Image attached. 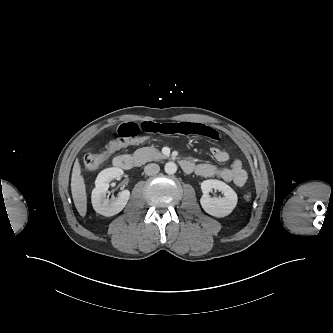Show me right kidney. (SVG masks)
Listing matches in <instances>:
<instances>
[{
	"instance_id": "ca27d5eb",
	"label": "right kidney",
	"mask_w": 333,
	"mask_h": 333,
	"mask_svg": "<svg viewBox=\"0 0 333 333\" xmlns=\"http://www.w3.org/2000/svg\"><path fill=\"white\" fill-rule=\"evenodd\" d=\"M122 175L123 170L117 167L104 169L98 174L91 195L92 206L97 213L109 217L119 213L126 206L130 197L129 190H123L117 198L111 200L106 194L109 182L119 179Z\"/></svg>"
}]
</instances>
